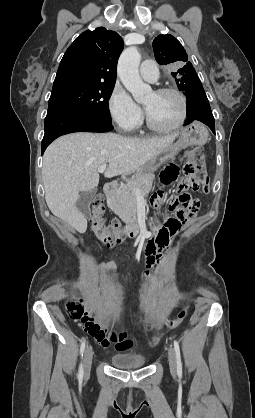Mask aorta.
<instances>
[{
    "label": "aorta",
    "mask_w": 255,
    "mask_h": 418,
    "mask_svg": "<svg viewBox=\"0 0 255 418\" xmlns=\"http://www.w3.org/2000/svg\"><path fill=\"white\" fill-rule=\"evenodd\" d=\"M141 55L136 47L124 50L118 61V75L125 88L137 102H142L151 94L150 85L144 83L139 75Z\"/></svg>",
    "instance_id": "1"
}]
</instances>
